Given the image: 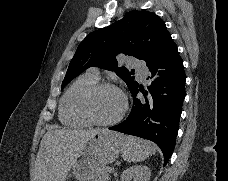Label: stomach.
Returning <instances> with one entry per match:
<instances>
[{
  "mask_svg": "<svg viewBox=\"0 0 228 181\" xmlns=\"http://www.w3.org/2000/svg\"><path fill=\"white\" fill-rule=\"evenodd\" d=\"M125 135L102 129L95 133L84 149L75 157L72 177L76 181H103L100 171L116 161L124 143Z\"/></svg>",
  "mask_w": 228,
  "mask_h": 181,
  "instance_id": "1",
  "label": "stomach"
}]
</instances>
